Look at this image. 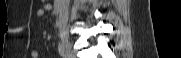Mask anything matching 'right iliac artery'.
<instances>
[{"instance_id": "82829eb1", "label": "right iliac artery", "mask_w": 181, "mask_h": 58, "mask_svg": "<svg viewBox=\"0 0 181 58\" xmlns=\"http://www.w3.org/2000/svg\"><path fill=\"white\" fill-rule=\"evenodd\" d=\"M58 51H59V54H60L62 57L66 58L67 53H66V50H65V48L63 47L62 44H59V45H58Z\"/></svg>"}]
</instances>
